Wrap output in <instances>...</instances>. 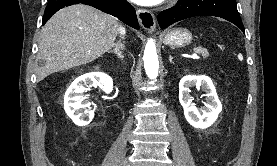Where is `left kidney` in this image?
Masks as SVG:
<instances>
[{
  "label": "left kidney",
  "mask_w": 277,
  "mask_h": 166,
  "mask_svg": "<svg viewBox=\"0 0 277 166\" xmlns=\"http://www.w3.org/2000/svg\"><path fill=\"white\" fill-rule=\"evenodd\" d=\"M196 86L202 88L206 93L204 107L197 109L192 103L190 88ZM179 101L183 106L184 115L187 122L194 128L206 129L210 127L218 118L222 111L221 102L218 99L215 87L211 79L207 76H184L179 83Z\"/></svg>",
  "instance_id": "5707ae66"
}]
</instances>
